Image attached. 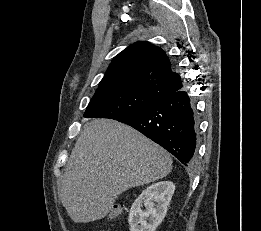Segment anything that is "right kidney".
Listing matches in <instances>:
<instances>
[{
	"instance_id": "right-kidney-1",
	"label": "right kidney",
	"mask_w": 261,
	"mask_h": 231,
	"mask_svg": "<svg viewBox=\"0 0 261 231\" xmlns=\"http://www.w3.org/2000/svg\"><path fill=\"white\" fill-rule=\"evenodd\" d=\"M174 190L170 181L157 182L143 190L130 209V231H155L166 215ZM143 204L146 210H142Z\"/></svg>"
}]
</instances>
